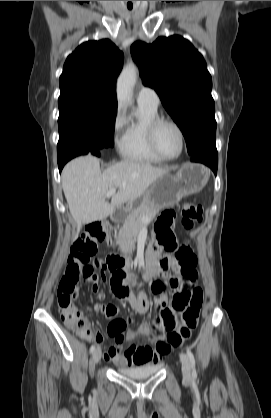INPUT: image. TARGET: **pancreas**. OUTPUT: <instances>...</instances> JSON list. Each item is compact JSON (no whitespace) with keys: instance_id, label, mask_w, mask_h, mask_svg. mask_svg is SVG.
<instances>
[{"instance_id":"1","label":"pancreas","mask_w":271,"mask_h":418,"mask_svg":"<svg viewBox=\"0 0 271 418\" xmlns=\"http://www.w3.org/2000/svg\"><path fill=\"white\" fill-rule=\"evenodd\" d=\"M128 215L119 229L117 243L122 247H133L140 229L147 225L159 212L149 203H141L135 208L127 209Z\"/></svg>"}]
</instances>
